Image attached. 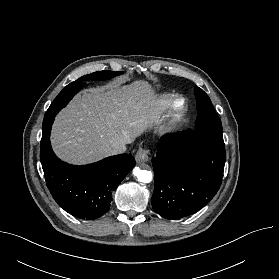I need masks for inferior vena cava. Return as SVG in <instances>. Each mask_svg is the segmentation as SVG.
I'll list each match as a JSON object with an SVG mask.
<instances>
[{"mask_svg": "<svg viewBox=\"0 0 279 279\" xmlns=\"http://www.w3.org/2000/svg\"><path fill=\"white\" fill-rule=\"evenodd\" d=\"M126 151V145L121 143L112 144L107 149L109 155L123 154Z\"/></svg>", "mask_w": 279, "mask_h": 279, "instance_id": "602c4592", "label": "inferior vena cava"}]
</instances>
